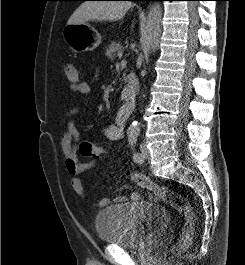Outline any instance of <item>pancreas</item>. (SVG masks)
Segmentation results:
<instances>
[{
	"label": "pancreas",
	"instance_id": "obj_1",
	"mask_svg": "<svg viewBox=\"0 0 245 265\" xmlns=\"http://www.w3.org/2000/svg\"><path fill=\"white\" fill-rule=\"evenodd\" d=\"M120 51L122 52V46L119 43L112 41L111 44L106 49L105 55L109 59L113 60L115 59L116 54H118V52Z\"/></svg>",
	"mask_w": 245,
	"mask_h": 265
}]
</instances>
